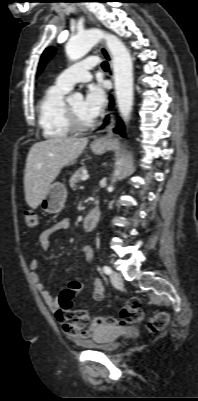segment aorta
Listing matches in <instances>:
<instances>
[{
    "mask_svg": "<svg viewBox=\"0 0 198 401\" xmlns=\"http://www.w3.org/2000/svg\"><path fill=\"white\" fill-rule=\"evenodd\" d=\"M101 39L112 55L115 94L119 112L127 121L133 105V63L131 55L123 42L115 35L106 33L100 29H90L72 37L66 44L65 50L68 58L72 61L85 56L91 48ZM82 94L74 93L67 98V102L81 99ZM119 175V170L114 173L113 182ZM112 189V187H110Z\"/></svg>",
    "mask_w": 198,
    "mask_h": 401,
    "instance_id": "aorta-1",
    "label": "aorta"
}]
</instances>
